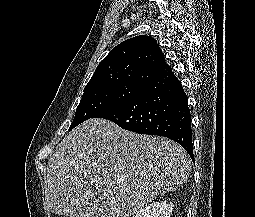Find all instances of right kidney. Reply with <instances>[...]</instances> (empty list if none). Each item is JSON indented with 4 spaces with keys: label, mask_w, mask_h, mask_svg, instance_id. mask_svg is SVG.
Returning a JSON list of instances; mask_svg holds the SVG:
<instances>
[{
    "label": "right kidney",
    "mask_w": 255,
    "mask_h": 217,
    "mask_svg": "<svg viewBox=\"0 0 255 217\" xmlns=\"http://www.w3.org/2000/svg\"><path fill=\"white\" fill-rule=\"evenodd\" d=\"M173 204L170 201H153L145 208L138 210L133 217H170Z\"/></svg>",
    "instance_id": "right-kidney-1"
}]
</instances>
